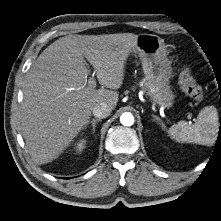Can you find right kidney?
I'll list each match as a JSON object with an SVG mask.
<instances>
[{"label": "right kidney", "instance_id": "right-kidney-1", "mask_svg": "<svg viewBox=\"0 0 221 221\" xmlns=\"http://www.w3.org/2000/svg\"><path fill=\"white\" fill-rule=\"evenodd\" d=\"M84 142V141H83ZM83 142L81 144H79L78 149L81 151V149L83 148Z\"/></svg>", "mask_w": 221, "mask_h": 221}]
</instances>
